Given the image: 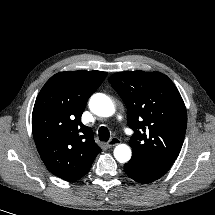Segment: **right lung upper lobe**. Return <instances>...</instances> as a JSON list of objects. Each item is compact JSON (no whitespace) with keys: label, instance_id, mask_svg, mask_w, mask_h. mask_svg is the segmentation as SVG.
I'll use <instances>...</instances> for the list:
<instances>
[{"label":"right lung upper lobe","instance_id":"right-lung-upper-lobe-1","mask_svg":"<svg viewBox=\"0 0 215 215\" xmlns=\"http://www.w3.org/2000/svg\"><path fill=\"white\" fill-rule=\"evenodd\" d=\"M101 71H66L52 76L36 98L32 132L47 169L69 182L83 177L101 149L80 117L106 77Z\"/></svg>","mask_w":215,"mask_h":215}]
</instances>
